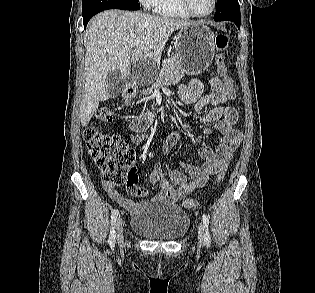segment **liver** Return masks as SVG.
I'll list each match as a JSON object with an SVG mask.
<instances>
[{
  "mask_svg": "<svg viewBox=\"0 0 315 293\" xmlns=\"http://www.w3.org/2000/svg\"><path fill=\"white\" fill-rule=\"evenodd\" d=\"M192 23L159 17L141 11L107 10L96 15L84 33L85 89L80 121L87 126L99 106L110 96L108 72L114 69L130 75V64L142 57L160 61L171 34ZM139 41L138 46L134 43Z\"/></svg>",
  "mask_w": 315,
  "mask_h": 293,
  "instance_id": "obj_1",
  "label": "liver"
}]
</instances>
